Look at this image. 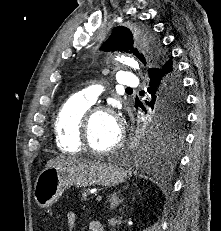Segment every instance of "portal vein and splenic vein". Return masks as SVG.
<instances>
[{
    "instance_id": "portal-vein-and-splenic-vein-1",
    "label": "portal vein and splenic vein",
    "mask_w": 221,
    "mask_h": 231,
    "mask_svg": "<svg viewBox=\"0 0 221 231\" xmlns=\"http://www.w3.org/2000/svg\"><path fill=\"white\" fill-rule=\"evenodd\" d=\"M96 200H97V201L102 200V195H96Z\"/></svg>"
}]
</instances>
